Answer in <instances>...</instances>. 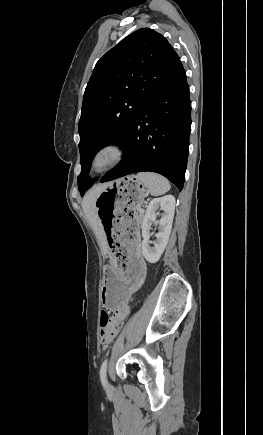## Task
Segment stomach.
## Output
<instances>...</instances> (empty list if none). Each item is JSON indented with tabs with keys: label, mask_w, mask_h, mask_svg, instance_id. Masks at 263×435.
<instances>
[{
	"label": "stomach",
	"mask_w": 263,
	"mask_h": 435,
	"mask_svg": "<svg viewBox=\"0 0 263 435\" xmlns=\"http://www.w3.org/2000/svg\"><path fill=\"white\" fill-rule=\"evenodd\" d=\"M145 188L134 175L111 181L98 195L95 207L101 221L100 233H106L111 260H105L103 271L107 285L101 299L105 310H120L130 305L142 288L144 260H136L141 241L138 209L144 200Z\"/></svg>",
	"instance_id": "1"
}]
</instances>
